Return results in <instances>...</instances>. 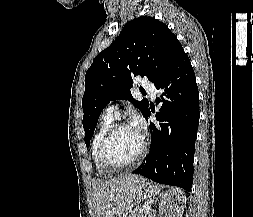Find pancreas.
I'll return each mask as SVG.
<instances>
[{
  "label": "pancreas",
  "instance_id": "pancreas-1",
  "mask_svg": "<svg viewBox=\"0 0 253 217\" xmlns=\"http://www.w3.org/2000/svg\"><path fill=\"white\" fill-rule=\"evenodd\" d=\"M143 209L139 208V209H136L132 212H130L129 216L128 217H152V214L151 212L148 214V215H144L143 214Z\"/></svg>",
  "mask_w": 253,
  "mask_h": 217
}]
</instances>
